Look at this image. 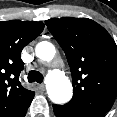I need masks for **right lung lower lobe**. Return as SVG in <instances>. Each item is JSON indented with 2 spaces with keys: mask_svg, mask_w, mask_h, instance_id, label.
Returning <instances> with one entry per match:
<instances>
[{
  "mask_svg": "<svg viewBox=\"0 0 117 117\" xmlns=\"http://www.w3.org/2000/svg\"><path fill=\"white\" fill-rule=\"evenodd\" d=\"M28 107H29V106H28ZM28 107L25 108V109L18 115V117H24L25 114H26V112H27Z\"/></svg>",
  "mask_w": 117,
  "mask_h": 117,
  "instance_id": "1",
  "label": "right lung lower lobe"
}]
</instances>
